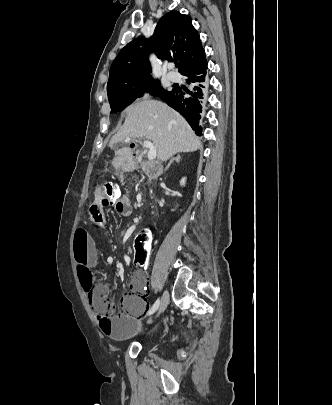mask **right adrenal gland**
<instances>
[{"instance_id": "2a0ac1e0", "label": "right adrenal gland", "mask_w": 332, "mask_h": 405, "mask_svg": "<svg viewBox=\"0 0 332 405\" xmlns=\"http://www.w3.org/2000/svg\"><path fill=\"white\" fill-rule=\"evenodd\" d=\"M180 160H181L180 154H178L175 158H172V159L169 161L168 165L166 166L165 171L170 167V165H171L174 161L180 162Z\"/></svg>"}]
</instances>
